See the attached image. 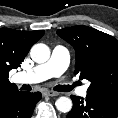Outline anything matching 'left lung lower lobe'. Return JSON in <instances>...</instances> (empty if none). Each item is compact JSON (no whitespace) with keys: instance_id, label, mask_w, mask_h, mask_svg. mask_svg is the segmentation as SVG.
Returning a JSON list of instances; mask_svg holds the SVG:
<instances>
[{"instance_id":"left-lung-lower-lobe-1","label":"left lung lower lobe","mask_w":118,"mask_h":118,"mask_svg":"<svg viewBox=\"0 0 118 118\" xmlns=\"http://www.w3.org/2000/svg\"><path fill=\"white\" fill-rule=\"evenodd\" d=\"M73 108L66 118H116L118 101L103 96L89 95L86 98L71 95Z\"/></svg>"}]
</instances>
